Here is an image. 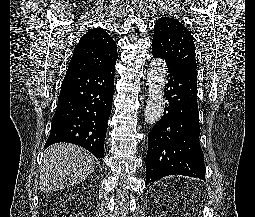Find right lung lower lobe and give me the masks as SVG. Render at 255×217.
Instances as JSON below:
<instances>
[{"instance_id": "98d812e1", "label": "right lung lower lobe", "mask_w": 255, "mask_h": 217, "mask_svg": "<svg viewBox=\"0 0 255 217\" xmlns=\"http://www.w3.org/2000/svg\"><path fill=\"white\" fill-rule=\"evenodd\" d=\"M115 64L96 70H67L46 148L54 143L70 142L97 158L104 157Z\"/></svg>"}]
</instances>
